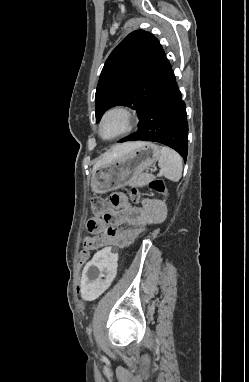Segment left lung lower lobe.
Returning a JSON list of instances; mask_svg holds the SVG:
<instances>
[{
  "label": "left lung lower lobe",
  "mask_w": 249,
  "mask_h": 382,
  "mask_svg": "<svg viewBox=\"0 0 249 382\" xmlns=\"http://www.w3.org/2000/svg\"><path fill=\"white\" fill-rule=\"evenodd\" d=\"M185 103L170 69L161 82L145 113L140 118L138 131L119 142L154 141L176 150L184 160L188 151V123Z\"/></svg>",
  "instance_id": "1"
}]
</instances>
